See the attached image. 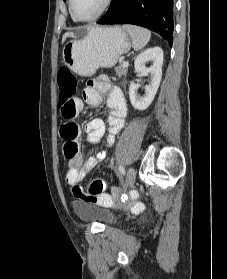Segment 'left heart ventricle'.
<instances>
[{"label":"left heart ventricle","mask_w":227,"mask_h":279,"mask_svg":"<svg viewBox=\"0 0 227 279\" xmlns=\"http://www.w3.org/2000/svg\"><path fill=\"white\" fill-rule=\"evenodd\" d=\"M103 0H73V10L79 18H89L101 8Z\"/></svg>","instance_id":"b2bd125f"}]
</instances>
